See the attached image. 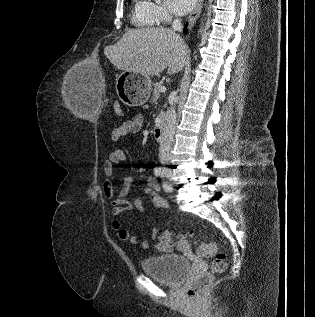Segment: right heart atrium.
Wrapping results in <instances>:
<instances>
[{
    "mask_svg": "<svg viewBox=\"0 0 315 317\" xmlns=\"http://www.w3.org/2000/svg\"><path fill=\"white\" fill-rule=\"evenodd\" d=\"M151 5L158 22H164L170 19V13L165 5L154 3H152Z\"/></svg>",
    "mask_w": 315,
    "mask_h": 317,
    "instance_id": "d8ad5b80",
    "label": "right heart atrium"
}]
</instances>
